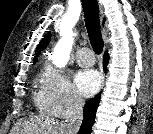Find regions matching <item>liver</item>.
<instances>
[{"label": "liver", "instance_id": "6515ba94", "mask_svg": "<svg viewBox=\"0 0 153 134\" xmlns=\"http://www.w3.org/2000/svg\"><path fill=\"white\" fill-rule=\"evenodd\" d=\"M14 134H64L62 123L49 116L31 118L25 123H17L12 131Z\"/></svg>", "mask_w": 153, "mask_h": 134}]
</instances>
